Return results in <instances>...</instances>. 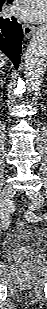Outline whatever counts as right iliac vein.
I'll return each instance as SVG.
<instances>
[{"label": "right iliac vein", "instance_id": "right-iliac-vein-1", "mask_svg": "<svg viewBox=\"0 0 47 309\" xmlns=\"http://www.w3.org/2000/svg\"><path fill=\"white\" fill-rule=\"evenodd\" d=\"M15 193V190L12 186L8 185L4 187V189L1 192V207H3L7 212V206L10 201V199L13 197ZM2 227L7 228L9 226L10 220L3 222V219L1 218Z\"/></svg>", "mask_w": 47, "mask_h": 309}]
</instances>
